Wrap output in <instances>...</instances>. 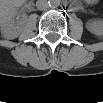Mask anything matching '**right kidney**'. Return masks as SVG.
Wrapping results in <instances>:
<instances>
[{
    "label": "right kidney",
    "mask_w": 103,
    "mask_h": 103,
    "mask_svg": "<svg viewBox=\"0 0 103 103\" xmlns=\"http://www.w3.org/2000/svg\"><path fill=\"white\" fill-rule=\"evenodd\" d=\"M12 1H7L1 6L0 12V31L4 38L15 39L20 34L22 20L15 22L17 7H11Z\"/></svg>",
    "instance_id": "right-kidney-1"
}]
</instances>
